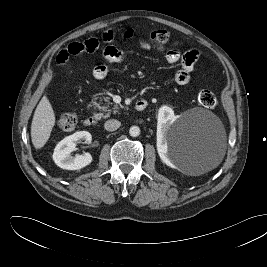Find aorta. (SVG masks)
Listing matches in <instances>:
<instances>
[{"instance_id":"obj_1","label":"aorta","mask_w":267,"mask_h":267,"mask_svg":"<svg viewBox=\"0 0 267 267\" xmlns=\"http://www.w3.org/2000/svg\"><path fill=\"white\" fill-rule=\"evenodd\" d=\"M129 134L132 137H137L140 135V128L138 126L130 127Z\"/></svg>"}]
</instances>
